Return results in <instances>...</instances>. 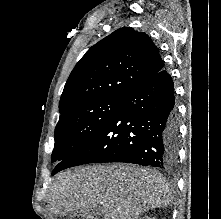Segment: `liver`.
<instances>
[{
  "instance_id": "1",
  "label": "liver",
  "mask_w": 221,
  "mask_h": 219,
  "mask_svg": "<svg viewBox=\"0 0 221 219\" xmlns=\"http://www.w3.org/2000/svg\"><path fill=\"white\" fill-rule=\"evenodd\" d=\"M52 213L101 210L103 219H138L149 209L171 204L162 175L129 164L96 165L59 173L51 187Z\"/></svg>"
}]
</instances>
